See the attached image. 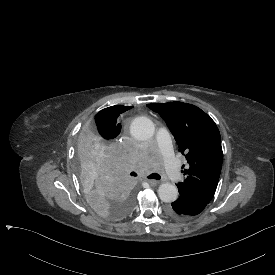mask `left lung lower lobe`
Listing matches in <instances>:
<instances>
[{
  "instance_id": "left-lung-lower-lobe-1",
  "label": "left lung lower lobe",
  "mask_w": 275,
  "mask_h": 275,
  "mask_svg": "<svg viewBox=\"0 0 275 275\" xmlns=\"http://www.w3.org/2000/svg\"><path fill=\"white\" fill-rule=\"evenodd\" d=\"M179 198L167 208L168 215L179 221L187 220L201 213L209 202L190 191H180Z\"/></svg>"
}]
</instances>
